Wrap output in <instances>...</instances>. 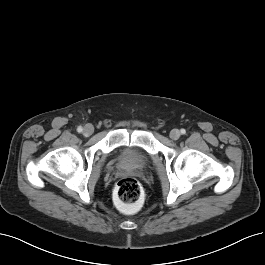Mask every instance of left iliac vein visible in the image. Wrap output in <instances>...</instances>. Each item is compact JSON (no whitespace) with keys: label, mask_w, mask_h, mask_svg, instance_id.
Returning a JSON list of instances; mask_svg holds the SVG:
<instances>
[{"label":"left iliac vein","mask_w":265,"mask_h":265,"mask_svg":"<svg viewBox=\"0 0 265 265\" xmlns=\"http://www.w3.org/2000/svg\"><path fill=\"white\" fill-rule=\"evenodd\" d=\"M180 136H181V133L178 129H173L170 131V138L172 140H177L180 138Z\"/></svg>","instance_id":"1"}]
</instances>
